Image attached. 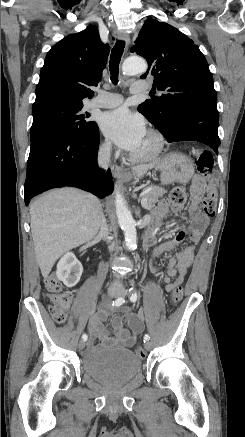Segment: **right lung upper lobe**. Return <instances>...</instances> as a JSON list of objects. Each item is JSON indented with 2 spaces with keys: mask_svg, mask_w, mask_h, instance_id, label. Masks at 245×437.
Here are the masks:
<instances>
[{
  "mask_svg": "<svg viewBox=\"0 0 245 437\" xmlns=\"http://www.w3.org/2000/svg\"><path fill=\"white\" fill-rule=\"evenodd\" d=\"M109 46L100 40L98 29L89 25L54 45L45 57L32 107L51 102L83 104L92 98L88 86H97L106 66Z\"/></svg>",
  "mask_w": 245,
  "mask_h": 437,
  "instance_id": "cb5924a9",
  "label": "right lung upper lobe"
}]
</instances>
